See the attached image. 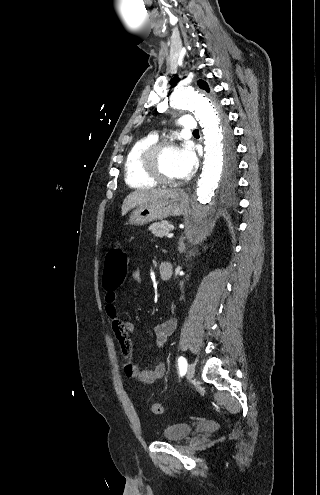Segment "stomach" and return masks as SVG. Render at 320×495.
<instances>
[{
    "label": "stomach",
    "mask_w": 320,
    "mask_h": 495,
    "mask_svg": "<svg viewBox=\"0 0 320 495\" xmlns=\"http://www.w3.org/2000/svg\"><path fill=\"white\" fill-rule=\"evenodd\" d=\"M187 208V195L181 190H173L155 201L137 207L131 213L129 223L143 226L169 216H180L187 211Z\"/></svg>",
    "instance_id": "1"
}]
</instances>
